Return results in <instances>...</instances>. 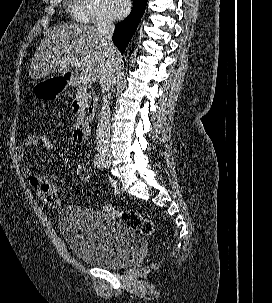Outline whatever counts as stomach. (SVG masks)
<instances>
[{"mask_svg": "<svg viewBox=\"0 0 272 303\" xmlns=\"http://www.w3.org/2000/svg\"><path fill=\"white\" fill-rule=\"evenodd\" d=\"M68 87V82L63 78L52 77L45 79L33 87L35 97L42 100H54Z\"/></svg>", "mask_w": 272, "mask_h": 303, "instance_id": "stomach-1", "label": "stomach"}]
</instances>
